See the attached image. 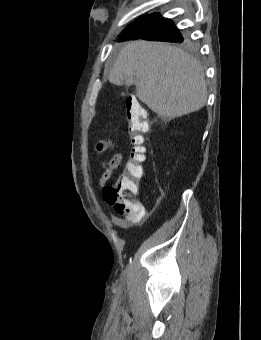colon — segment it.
<instances>
[{
    "label": "colon",
    "instance_id": "1",
    "mask_svg": "<svg viewBox=\"0 0 261 340\" xmlns=\"http://www.w3.org/2000/svg\"><path fill=\"white\" fill-rule=\"evenodd\" d=\"M147 130L144 108L135 98L129 97L126 100V132L131 149L127 160L121 162L122 173L103 191L105 201L121 215L139 216L144 212V207L134 199V196L139 193V182L146 173L144 167L146 150L143 142Z\"/></svg>",
    "mask_w": 261,
    "mask_h": 340
}]
</instances>
